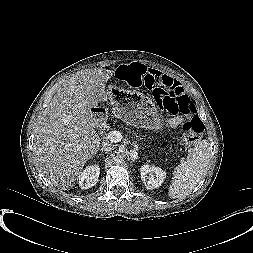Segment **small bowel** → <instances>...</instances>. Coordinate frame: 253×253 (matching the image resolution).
I'll list each match as a JSON object with an SVG mask.
<instances>
[{"mask_svg": "<svg viewBox=\"0 0 253 253\" xmlns=\"http://www.w3.org/2000/svg\"><path fill=\"white\" fill-rule=\"evenodd\" d=\"M142 85L148 89L153 90L156 87H179L181 84L171 76L161 71H158L153 68H147V72L143 78ZM174 124H176V121H172V125Z\"/></svg>", "mask_w": 253, "mask_h": 253, "instance_id": "small-bowel-1", "label": "small bowel"}]
</instances>
